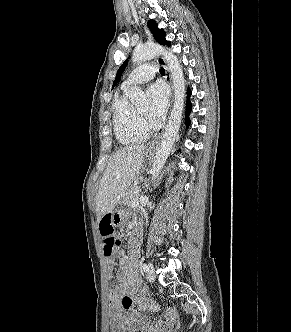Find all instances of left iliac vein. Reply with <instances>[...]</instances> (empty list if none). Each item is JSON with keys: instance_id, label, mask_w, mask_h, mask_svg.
<instances>
[{"instance_id": "obj_1", "label": "left iliac vein", "mask_w": 291, "mask_h": 332, "mask_svg": "<svg viewBox=\"0 0 291 332\" xmlns=\"http://www.w3.org/2000/svg\"><path fill=\"white\" fill-rule=\"evenodd\" d=\"M146 276H147V279L150 282H153L156 278L155 269H154V267L151 263L148 264V270H147V275Z\"/></svg>"}]
</instances>
